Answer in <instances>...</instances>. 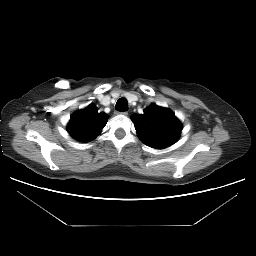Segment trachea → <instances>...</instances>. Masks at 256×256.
<instances>
[{"label":"trachea","instance_id":"3493384b","mask_svg":"<svg viewBox=\"0 0 256 256\" xmlns=\"http://www.w3.org/2000/svg\"><path fill=\"white\" fill-rule=\"evenodd\" d=\"M115 109L120 112H125L128 110V102L125 98H120L116 102Z\"/></svg>","mask_w":256,"mask_h":256}]
</instances>
